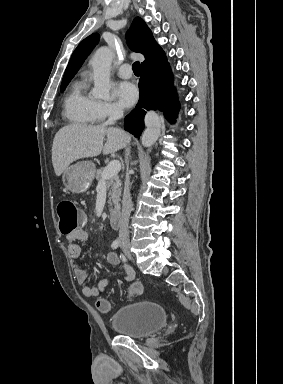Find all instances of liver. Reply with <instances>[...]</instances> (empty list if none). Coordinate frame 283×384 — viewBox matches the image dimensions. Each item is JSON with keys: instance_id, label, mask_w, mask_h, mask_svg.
Returning a JSON list of instances; mask_svg holds the SVG:
<instances>
[{"instance_id": "liver-1", "label": "liver", "mask_w": 283, "mask_h": 384, "mask_svg": "<svg viewBox=\"0 0 283 384\" xmlns=\"http://www.w3.org/2000/svg\"><path fill=\"white\" fill-rule=\"evenodd\" d=\"M107 138L103 146L104 138ZM128 134L119 128L100 126H87V124H71L64 126L57 132L52 146V164L56 176H61L64 170L82 158H94L103 152L115 154L118 150L126 148L130 140Z\"/></svg>"}]
</instances>
